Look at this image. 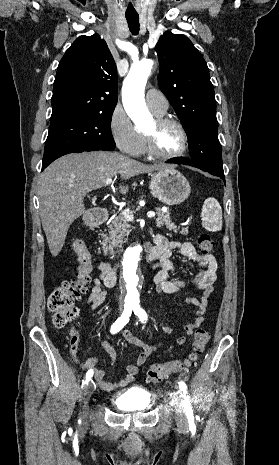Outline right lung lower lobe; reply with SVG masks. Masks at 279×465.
<instances>
[{"mask_svg":"<svg viewBox=\"0 0 279 465\" xmlns=\"http://www.w3.org/2000/svg\"><path fill=\"white\" fill-rule=\"evenodd\" d=\"M114 149V146H87L86 148H83L81 151L79 152H83V151H96V150H113ZM48 165H43L42 164V171L44 170V168H46Z\"/></svg>","mask_w":279,"mask_h":465,"instance_id":"right-lung-lower-lobe-1","label":"right lung lower lobe"}]
</instances>
